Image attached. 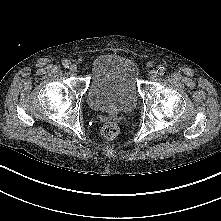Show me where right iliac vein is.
<instances>
[{"mask_svg": "<svg viewBox=\"0 0 221 221\" xmlns=\"http://www.w3.org/2000/svg\"><path fill=\"white\" fill-rule=\"evenodd\" d=\"M69 69H70V71H71L72 73H76V72H77V66L74 65V64H72Z\"/></svg>", "mask_w": 221, "mask_h": 221, "instance_id": "right-iliac-vein-1", "label": "right iliac vein"}]
</instances>
